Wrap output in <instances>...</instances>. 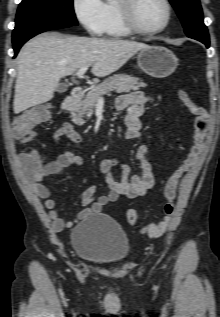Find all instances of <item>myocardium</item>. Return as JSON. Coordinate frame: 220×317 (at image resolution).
Returning <instances> with one entry per match:
<instances>
[{
	"label": "myocardium",
	"instance_id": "obj_1",
	"mask_svg": "<svg viewBox=\"0 0 220 317\" xmlns=\"http://www.w3.org/2000/svg\"><path fill=\"white\" fill-rule=\"evenodd\" d=\"M166 7V19L164 23L156 29H143L136 21L135 11L139 0H116V9L123 26L132 34L139 36L157 35L163 32L171 23L173 9L169 0H162Z\"/></svg>",
	"mask_w": 220,
	"mask_h": 317
}]
</instances>
